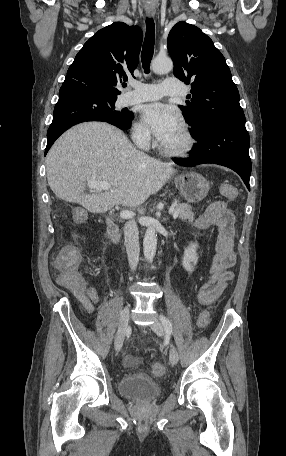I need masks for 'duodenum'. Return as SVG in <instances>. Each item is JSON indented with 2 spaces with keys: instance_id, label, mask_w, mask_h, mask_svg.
Listing matches in <instances>:
<instances>
[{
  "instance_id": "obj_1",
  "label": "duodenum",
  "mask_w": 286,
  "mask_h": 456,
  "mask_svg": "<svg viewBox=\"0 0 286 456\" xmlns=\"http://www.w3.org/2000/svg\"><path fill=\"white\" fill-rule=\"evenodd\" d=\"M108 234L111 238V240L116 243V244H120L121 243V234H120V231H119V227L117 225V223L115 221H110L108 223Z\"/></svg>"
}]
</instances>
